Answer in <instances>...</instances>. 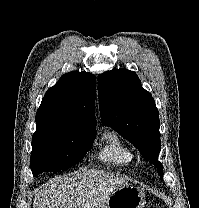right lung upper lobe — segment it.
I'll return each instance as SVG.
<instances>
[{"instance_id": "1", "label": "right lung upper lobe", "mask_w": 199, "mask_h": 208, "mask_svg": "<svg viewBox=\"0 0 199 208\" xmlns=\"http://www.w3.org/2000/svg\"><path fill=\"white\" fill-rule=\"evenodd\" d=\"M95 76L72 71L48 89L36 113L37 124L95 127Z\"/></svg>"}]
</instances>
